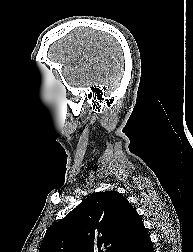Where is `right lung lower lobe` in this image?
<instances>
[{
	"instance_id": "98d812e1",
	"label": "right lung lower lobe",
	"mask_w": 193,
	"mask_h": 252,
	"mask_svg": "<svg viewBox=\"0 0 193 252\" xmlns=\"http://www.w3.org/2000/svg\"><path fill=\"white\" fill-rule=\"evenodd\" d=\"M126 252H154L152 242L146 229L140 232L137 240L126 250Z\"/></svg>"
}]
</instances>
